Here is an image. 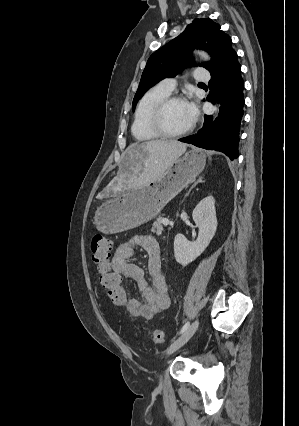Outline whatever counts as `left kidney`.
<instances>
[{
    "instance_id": "5707ae66",
    "label": "left kidney",
    "mask_w": 299,
    "mask_h": 426,
    "mask_svg": "<svg viewBox=\"0 0 299 426\" xmlns=\"http://www.w3.org/2000/svg\"><path fill=\"white\" fill-rule=\"evenodd\" d=\"M192 217L199 228L196 241H188L183 234H177L174 239V256L182 266L200 256L215 235L218 223L213 196L202 199L193 210Z\"/></svg>"
}]
</instances>
